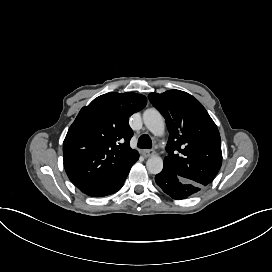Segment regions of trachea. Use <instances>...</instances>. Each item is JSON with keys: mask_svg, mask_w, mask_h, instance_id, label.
<instances>
[{"mask_svg": "<svg viewBox=\"0 0 272 272\" xmlns=\"http://www.w3.org/2000/svg\"><path fill=\"white\" fill-rule=\"evenodd\" d=\"M137 146L143 149H151L152 141L148 135L144 134L139 137Z\"/></svg>", "mask_w": 272, "mask_h": 272, "instance_id": "obj_1", "label": "trachea"}]
</instances>
